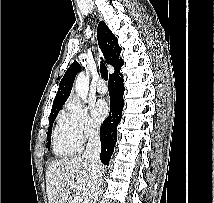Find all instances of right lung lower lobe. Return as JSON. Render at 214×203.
<instances>
[{
    "label": "right lung lower lobe",
    "mask_w": 214,
    "mask_h": 203,
    "mask_svg": "<svg viewBox=\"0 0 214 203\" xmlns=\"http://www.w3.org/2000/svg\"><path fill=\"white\" fill-rule=\"evenodd\" d=\"M109 94H110V113L104 120L101 131V154L100 159L104 165L109 164V160L114 150V145L117 140V125L121 120V113L124 106L123 100V79L121 74L115 73L109 77Z\"/></svg>",
    "instance_id": "right-lung-lower-lobe-1"
}]
</instances>
